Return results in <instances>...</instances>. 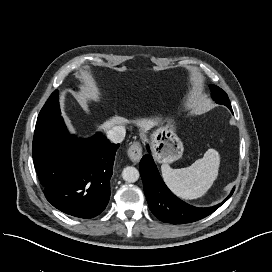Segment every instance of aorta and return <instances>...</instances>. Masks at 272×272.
<instances>
[{"mask_svg": "<svg viewBox=\"0 0 272 272\" xmlns=\"http://www.w3.org/2000/svg\"><path fill=\"white\" fill-rule=\"evenodd\" d=\"M122 178L129 183L136 182L139 178V171L132 166H127L122 171Z\"/></svg>", "mask_w": 272, "mask_h": 272, "instance_id": "obj_1", "label": "aorta"}]
</instances>
